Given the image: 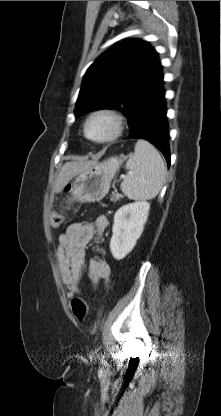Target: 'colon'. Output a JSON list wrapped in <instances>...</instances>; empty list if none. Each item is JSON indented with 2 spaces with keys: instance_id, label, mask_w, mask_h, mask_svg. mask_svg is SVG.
Returning a JSON list of instances; mask_svg holds the SVG:
<instances>
[{
  "instance_id": "obj_1",
  "label": "colon",
  "mask_w": 221,
  "mask_h": 416,
  "mask_svg": "<svg viewBox=\"0 0 221 416\" xmlns=\"http://www.w3.org/2000/svg\"><path fill=\"white\" fill-rule=\"evenodd\" d=\"M68 190V189H67ZM66 221V216L63 211L55 212L50 217V223L53 227H59ZM71 308L75 318L83 322L87 317L88 303L85 298L77 297L71 301Z\"/></svg>"
}]
</instances>
